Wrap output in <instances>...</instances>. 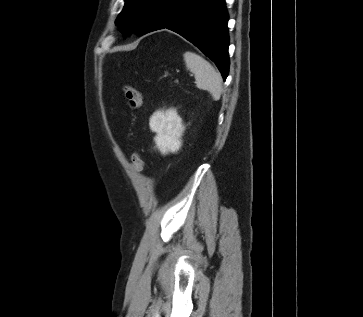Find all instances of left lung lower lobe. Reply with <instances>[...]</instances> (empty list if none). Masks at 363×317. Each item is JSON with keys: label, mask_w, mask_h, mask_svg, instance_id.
<instances>
[{"label": "left lung lower lobe", "mask_w": 363, "mask_h": 317, "mask_svg": "<svg viewBox=\"0 0 363 317\" xmlns=\"http://www.w3.org/2000/svg\"><path fill=\"white\" fill-rule=\"evenodd\" d=\"M227 21L225 0H159L143 34L165 28L180 34L215 62L225 80L229 71Z\"/></svg>", "instance_id": "1"}]
</instances>
